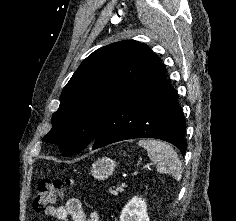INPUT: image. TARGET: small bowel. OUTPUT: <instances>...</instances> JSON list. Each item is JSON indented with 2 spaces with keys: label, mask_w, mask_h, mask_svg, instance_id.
Returning <instances> with one entry per match:
<instances>
[{
  "label": "small bowel",
  "mask_w": 236,
  "mask_h": 221,
  "mask_svg": "<svg viewBox=\"0 0 236 221\" xmlns=\"http://www.w3.org/2000/svg\"><path fill=\"white\" fill-rule=\"evenodd\" d=\"M45 213L57 221H99L96 211L91 212L89 216L85 214L82 201L76 197L69 198L59 206H49Z\"/></svg>",
  "instance_id": "small-bowel-1"
}]
</instances>
